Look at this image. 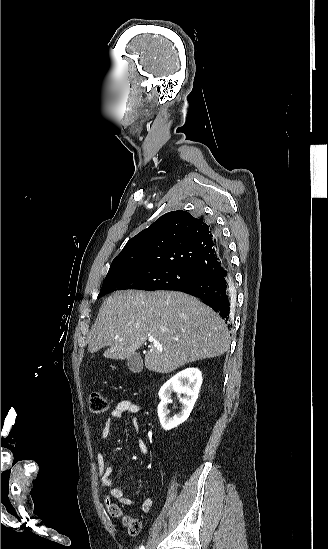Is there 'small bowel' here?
I'll return each mask as SVG.
<instances>
[{
    "mask_svg": "<svg viewBox=\"0 0 328 549\" xmlns=\"http://www.w3.org/2000/svg\"><path fill=\"white\" fill-rule=\"evenodd\" d=\"M139 411H140L139 404L131 400L120 401L110 412L101 430V438L104 439L108 437L115 421L121 419L125 414L134 416ZM132 424L136 429H138V422L136 418L132 419ZM138 446H139L140 453L142 455H145L147 453V445L141 437L138 438ZM96 460L98 465V472L101 478V485L104 488L109 489V495L125 506L132 505L134 501L131 498L126 496L124 490L117 488L113 485L112 468L108 465L104 453L98 452L96 454ZM152 506H153V500L148 498L143 502L142 510L144 512H148L151 510Z\"/></svg>",
    "mask_w": 328,
    "mask_h": 549,
    "instance_id": "1",
    "label": "small bowel"
}]
</instances>
